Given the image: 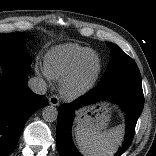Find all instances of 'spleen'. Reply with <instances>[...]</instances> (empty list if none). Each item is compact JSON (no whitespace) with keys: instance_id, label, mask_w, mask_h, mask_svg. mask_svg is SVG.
I'll use <instances>...</instances> for the list:
<instances>
[{"instance_id":"obj_1","label":"spleen","mask_w":156,"mask_h":156,"mask_svg":"<svg viewBox=\"0 0 156 156\" xmlns=\"http://www.w3.org/2000/svg\"><path fill=\"white\" fill-rule=\"evenodd\" d=\"M93 124H78L75 139L84 156H113L123 139L121 126L101 132Z\"/></svg>"}]
</instances>
